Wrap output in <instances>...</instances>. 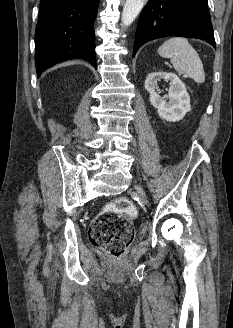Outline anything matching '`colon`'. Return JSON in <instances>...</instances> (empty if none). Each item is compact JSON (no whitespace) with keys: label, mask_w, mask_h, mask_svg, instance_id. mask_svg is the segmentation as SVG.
I'll use <instances>...</instances> for the list:
<instances>
[{"label":"colon","mask_w":233,"mask_h":328,"mask_svg":"<svg viewBox=\"0 0 233 328\" xmlns=\"http://www.w3.org/2000/svg\"><path fill=\"white\" fill-rule=\"evenodd\" d=\"M136 215L135 205L125 197L107 204L90 225V242L110 256L120 258L133 240L131 219Z\"/></svg>","instance_id":"1"}]
</instances>
